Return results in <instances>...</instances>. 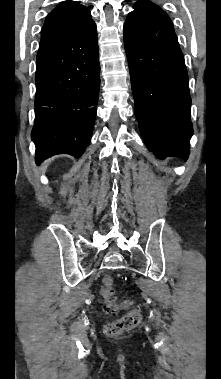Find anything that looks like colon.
<instances>
[{"label":"colon","mask_w":221,"mask_h":379,"mask_svg":"<svg viewBox=\"0 0 221 379\" xmlns=\"http://www.w3.org/2000/svg\"><path fill=\"white\" fill-rule=\"evenodd\" d=\"M101 298L107 311L117 313L122 310L123 305L114 296L113 280L106 276L102 280ZM140 321V312L132 308L121 318L109 322L105 327L108 336H118L135 328Z\"/></svg>","instance_id":"1"}]
</instances>
